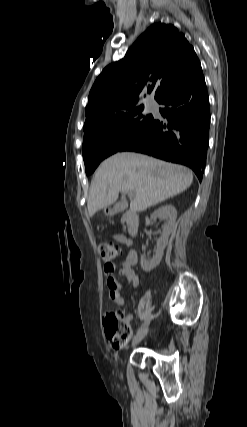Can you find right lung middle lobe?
Masks as SVG:
<instances>
[{"label": "right lung middle lobe", "mask_w": 247, "mask_h": 427, "mask_svg": "<svg viewBox=\"0 0 247 427\" xmlns=\"http://www.w3.org/2000/svg\"><path fill=\"white\" fill-rule=\"evenodd\" d=\"M153 116L144 107L132 106L112 119L84 129L83 159L86 174H92L99 163L136 139L150 124Z\"/></svg>", "instance_id": "1"}]
</instances>
